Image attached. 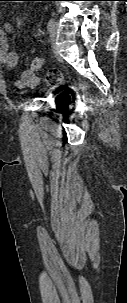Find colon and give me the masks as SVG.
Segmentation results:
<instances>
[{"label":"colon","instance_id":"colon-1","mask_svg":"<svg viewBox=\"0 0 127 303\" xmlns=\"http://www.w3.org/2000/svg\"><path fill=\"white\" fill-rule=\"evenodd\" d=\"M43 65V59L41 57H35L32 61V67L35 71L41 69ZM46 80L50 85H60L62 83V75L56 70L52 69L46 73Z\"/></svg>","mask_w":127,"mask_h":303}]
</instances>
